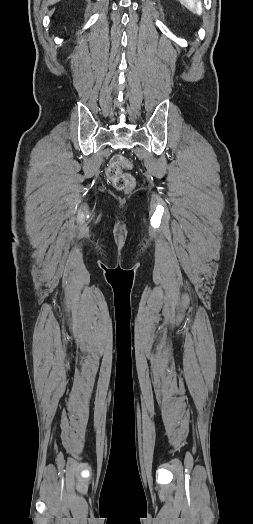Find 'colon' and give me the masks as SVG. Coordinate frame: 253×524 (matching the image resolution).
I'll list each match as a JSON object with an SVG mask.
<instances>
[{"instance_id":"5ec220e1","label":"colon","mask_w":253,"mask_h":524,"mask_svg":"<svg viewBox=\"0 0 253 524\" xmlns=\"http://www.w3.org/2000/svg\"><path fill=\"white\" fill-rule=\"evenodd\" d=\"M130 166V162L123 156H115L110 161L106 169V175L118 190L130 191L134 188L135 180L133 176L123 171L124 168Z\"/></svg>"}]
</instances>
